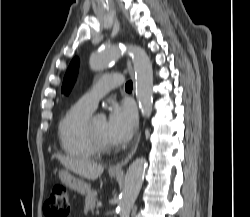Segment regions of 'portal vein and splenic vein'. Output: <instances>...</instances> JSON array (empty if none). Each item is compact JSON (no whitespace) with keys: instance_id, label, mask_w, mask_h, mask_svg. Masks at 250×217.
<instances>
[{"instance_id":"18ae733b","label":"portal vein and splenic vein","mask_w":250,"mask_h":217,"mask_svg":"<svg viewBox=\"0 0 250 217\" xmlns=\"http://www.w3.org/2000/svg\"><path fill=\"white\" fill-rule=\"evenodd\" d=\"M101 206H102V202L101 201L97 202V207H101Z\"/></svg>"}]
</instances>
